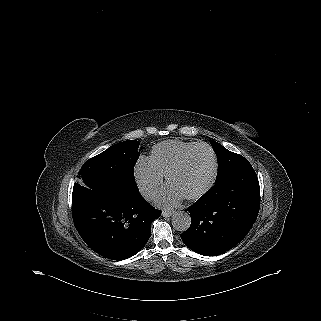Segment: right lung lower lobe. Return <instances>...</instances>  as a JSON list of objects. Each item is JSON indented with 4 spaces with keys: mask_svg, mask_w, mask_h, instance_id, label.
<instances>
[{
    "mask_svg": "<svg viewBox=\"0 0 321 321\" xmlns=\"http://www.w3.org/2000/svg\"><path fill=\"white\" fill-rule=\"evenodd\" d=\"M74 225L96 253L113 260L134 256L147 243L161 211L140 194L130 198L87 196L72 201Z\"/></svg>",
    "mask_w": 321,
    "mask_h": 321,
    "instance_id": "1",
    "label": "right lung lower lobe"
}]
</instances>
